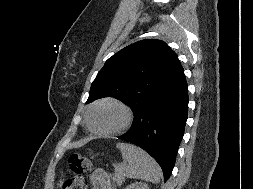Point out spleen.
I'll return each instance as SVG.
<instances>
[{"instance_id":"3e777b00","label":"spleen","mask_w":253,"mask_h":189,"mask_svg":"<svg viewBox=\"0 0 253 189\" xmlns=\"http://www.w3.org/2000/svg\"><path fill=\"white\" fill-rule=\"evenodd\" d=\"M127 164L122 167L124 175L128 178L142 179L158 183L162 170L158 163L143 149L127 143H117Z\"/></svg>"}]
</instances>
